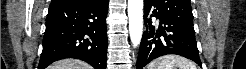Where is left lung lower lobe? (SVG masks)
I'll list each match as a JSON object with an SVG mask.
<instances>
[{
  "mask_svg": "<svg viewBox=\"0 0 246 69\" xmlns=\"http://www.w3.org/2000/svg\"><path fill=\"white\" fill-rule=\"evenodd\" d=\"M152 6L156 7L152 0H144V24L147 30L140 43L137 69H143L153 59L167 54L184 56L201 66L193 25L174 20L157 8L149 17ZM153 16L160 20L158 28L151 25Z\"/></svg>",
  "mask_w": 246,
  "mask_h": 69,
  "instance_id": "1",
  "label": "left lung lower lobe"
}]
</instances>
